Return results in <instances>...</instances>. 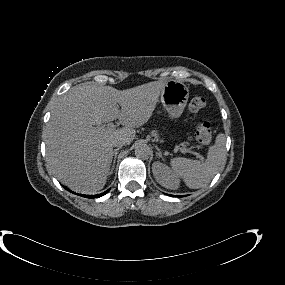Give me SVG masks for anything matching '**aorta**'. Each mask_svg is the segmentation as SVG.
<instances>
[{
  "mask_svg": "<svg viewBox=\"0 0 285 285\" xmlns=\"http://www.w3.org/2000/svg\"><path fill=\"white\" fill-rule=\"evenodd\" d=\"M135 155L140 159L147 160L151 155V149L147 144L138 143L135 147Z\"/></svg>",
  "mask_w": 285,
  "mask_h": 285,
  "instance_id": "762f6f07",
  "label": "aorta"
}]
</instances>
